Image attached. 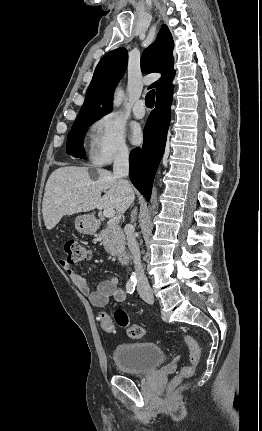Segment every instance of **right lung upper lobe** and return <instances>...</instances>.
<instances>
[{
	"mask_svg": "<svg viewBox=\"0 0 262 431\" xmlns=\"http://www.w3.org/2000/svg\"><path fill=\"white\" fill-rule=\"evenodd\" d=\"M174 42L168 27L162 25L156 41L142 54L141 69L144 73L159 72L162 77L153 83L157 97L172 90ZM128 62L125 48L115 49L102 57L99 61L89 85L85 101L76 119H99L109 113L112 107L114 88L125 73Z\"/></svg>",
	"mask_w": 262,
	"mask_h": 431,
	"instance_id": "obj_1",
	"label": "right lung upper lobe"
}]
</instances>
